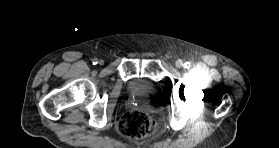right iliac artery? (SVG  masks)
Returning a JSON list of instances; mask_svg holds the SVG:
<instances>
[{"label":"right iliac artery","instance_id":"right-iliac-artery-1","mask_svg":"<svg viewBox=\"0 0 279 148\" xmlns=\"http://www.w3.org/2000/svg\"><path fill=\"white\" fill-rule=\"evenodd\" d=\"M92 63H93V65H96V64L98 63L97 59L94 58V59L92 60Z\"/></svg>","mask_w":279,"mask_h":148}]
</instances>
